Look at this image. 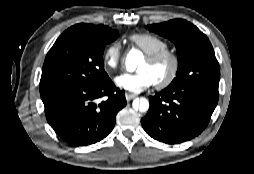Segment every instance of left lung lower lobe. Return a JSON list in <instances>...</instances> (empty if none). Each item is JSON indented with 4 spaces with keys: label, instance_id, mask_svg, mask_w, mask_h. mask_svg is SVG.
Segmentation results:
<instances>
[{
    "label": "left lung lower lobe",
    "instance_id": "left-lung-lower-lobe-1",
    "mask_svg": "<svg viewBox=\"0 0 254 174\" xmlns=\"http://www.w3.org/2000/svg\"><path fill=\"white\" fill-rule=\"evenodd\" d=\"M218 98V84L167 87L149 97L150 108L141 124L148 135L160 142H185L206 128Z\"/></svg>",
    "mask_w": 254,
    "mask_h": 174
}]
</instances>
